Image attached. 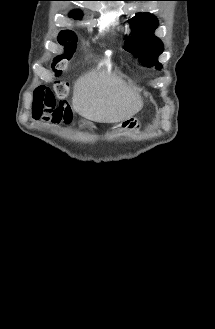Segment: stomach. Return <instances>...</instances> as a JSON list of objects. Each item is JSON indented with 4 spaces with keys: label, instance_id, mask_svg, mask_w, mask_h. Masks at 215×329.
Returning a JSON list of instances; mask_svg holds the SVG:
<instances>
[{
    "label": "stomach",
    "instance_id": "0dacf381",
    "mask_svg": "<svg viewBox=\"0 0 215 329\" xmlns=\"http://www.w3.org/2000/svg\"><path fill=\"white\" fill-rule=\"evenodd\" d=\"M139 129V122L136 118H129L120 122L119 124L113 127V130L116 132L123 131H137Z\"/></svg>",
    "mask_w": 215,
    "mask_h": 329
}]
</instances>
